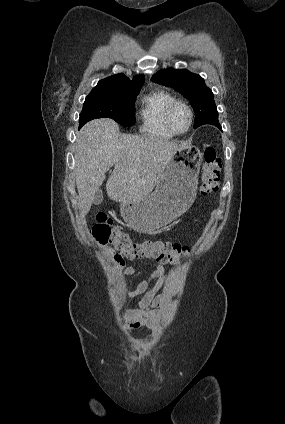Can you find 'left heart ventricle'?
Segmentation results:
<instances>
[{
	"mask_svg": "<svg viewBox=\"0 0 285 424\" xmlns=\"http://www.w3.org/2000/svg\"><path fill=\"white\" fill-rule=\"evenodd\" d=\"M189 113L183 106H178L172 113V123L178 131H185L189 125Z\"/></svg>",
	"mask_w": 285,
	"mask_h": 424,
	"instance_id": "b2bd125f",
	"label": "left heart ventricle"
}]
</instances>
